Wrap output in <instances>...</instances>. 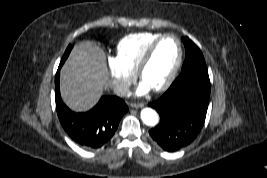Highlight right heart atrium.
<instances>
[{"label":"right heart atrium","instance_id":"obj_1","mask_svg":"<svg viewBox=\"0 0 267 178\" xmlns=\"http://www.w3.org/2000/svg\"><path fill=\"white\" fill-rule=\"evenodd\" d=\"M107 66L114 92L118 95L125 94L135 79V73L125 68L115 57L107 58Z\"/></svg>","mask_w":267,"mask_h":178}]
</instances>
